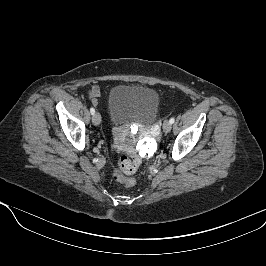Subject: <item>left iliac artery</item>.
Masks as SVG:
<instances>
[{"label": "left iliac artery", "mask_w": 266, "mask_h": 266, "mask_svg": "<svg viewBox=\"0 0 266 266\" xmlns=\"http://www.w3.org/2000/svg\"><path fill=\"white\" fill-rule=\"evenodd\" d=\"M174 121H175V118H170V120H169V122L171 123V124H173L174 123Z\"/></svg>", "instance_id": "obj_1"}]
</instances>
